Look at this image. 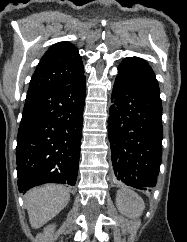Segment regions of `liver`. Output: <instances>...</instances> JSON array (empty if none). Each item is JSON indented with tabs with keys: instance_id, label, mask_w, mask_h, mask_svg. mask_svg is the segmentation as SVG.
I'll list each match as a JSON object with an SVG mask.
<instances>
[{
	"instance_id": "obj_1",
	"label": "liver",
	"mask_w": 187,
	"mask_h": 242,
	"mask_svg": "<svg viewBox=\"0 0 187 242\" xmlns=\"http://www.w3.org/2000/svg\"><path fill=\"white\" fill-rule=\"evenodd\" d=\"M70 194L62 185L48 184L30 190L25 196L29 221L37 229L59 214L68 204Z\"/></svg>"
}]
</instances>
